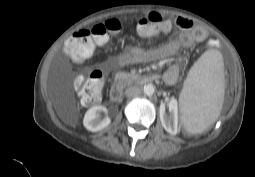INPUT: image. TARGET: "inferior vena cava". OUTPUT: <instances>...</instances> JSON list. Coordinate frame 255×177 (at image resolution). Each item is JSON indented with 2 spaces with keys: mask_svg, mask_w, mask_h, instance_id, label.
<instances>
[{
  "mask_svg": "<svg viewBox=\"0 0 255 177\" xmlns=\"http://www.w3.org/2000/svg\"><path fill=\"white\" fill-rule=\"evenodd\" d=\"M141 90L138 87L132 86L125 90V94L127 97H134L140 94Z\"/></svg>",
  "mask_w": 255,
  "mask_h": 177,
  "instance_id": "inferior-vena-cava-1",
  "label": "inferior vena cava"
}]
</instances>
